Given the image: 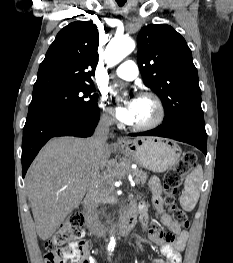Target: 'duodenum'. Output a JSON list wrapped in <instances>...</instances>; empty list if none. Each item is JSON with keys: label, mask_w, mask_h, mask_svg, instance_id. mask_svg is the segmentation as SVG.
Instances as JSON below:
<instances>
[{"label": "duodenum", "mask_w": 233, "mask_h": 263, "mask_svg": "<svg viewBox=\"0 0 233 263\" xmlns=\"http://www.w3.org/2000/svg\"><path fill=\"white\" fill-rule=\"evenodd\" d=\"M138 209L135 203H132L128 212L124 215L121 222L118 224L117 231L120 235H127L133 228L136 222ZM85 226L91 235L99 239L105 237V233L102 228L94 220L90 210H85Z\"/></svg>", "instance_id": "410a0bca"}]
</instances>
